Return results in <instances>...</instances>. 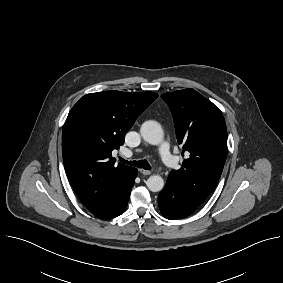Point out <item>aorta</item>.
Masks as SVG:
<instances>
[{"instance_id":"762f6f07","label":"aorta","mask_w":283,"mask_h":283,"mask_svg":"<svg viewBox=\"0 0 283 283\" xmlns=\"http://www.w3.org/2000/svg\"><path fill=\"white\" fill-rule=\"evenodd\" d=\"M140 133L143 139L152 145H158L163 140V129L161 125L153 120L146 121L142 124ZM146 185L152 192H159L164 187V180L159 175H152L148 178Z\"/></svg>"}]
</instances>
